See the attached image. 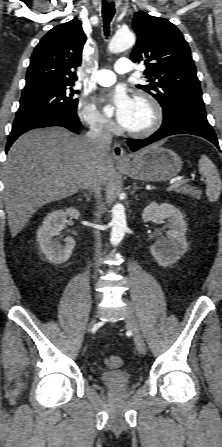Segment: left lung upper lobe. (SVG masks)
Segmentation results:
<instances>
[{"mask_svg": "<svg viewBox=\"0 0 222 447\" xmlns=\"http://www.w3.org/2000/svg\"><path fill=\"white\" fill-rule=\"evenodd\" d=\"M132 25L138 39L130 57L144 61L148 78V84L137 87L158 100L164 117L176 109L206 115L191 51L178 28L142 11Z\"/></svg>", "mask_w": 222, "mask_h": 447, "instance_id": "5c2ea615", "label": "left lung upper lobe"}]
</instances>
